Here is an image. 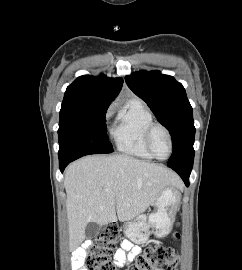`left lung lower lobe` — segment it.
<instances>
[{"label": "left lung lower lobe", "mask_w": 242, "mask_h": 270, "mask_svg": "<svg viewBox=\"0 0 242 270\" xmlns=\"http://www.w3.org/2000/svg\"><path fill=\"white\" fill-rule=\"evenodd\" d=\"M170 168H172L174 171H176L180 175V177L183 179L186 186H189V176H190L192 167H190V168L170 167Z\"/></svg>", "instance_id": "1"}]
</instances>
